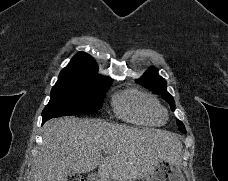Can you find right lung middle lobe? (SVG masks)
Here are the masks:
<instances>
[{"label":"right lung middle lobe","instance_id":"obj_1","mask_svg":"<svg viewBox=\"0 0 228 181\" xmlns=\"http://www.w3.org/2000/svg\"><path fill=\"white\" fill-rule=\"evenodd\" d=\"M112 81L83 84H58L52 88L48 105L42 111V122L60 116L89 114L98 111Z\"/></svg>","mask_w":228,"mask_h":181}]
</instances>
